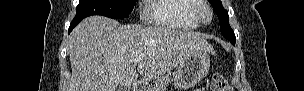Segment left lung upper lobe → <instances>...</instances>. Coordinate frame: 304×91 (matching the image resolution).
<instances>
[{"instance_id": "5c2ea615", "label": "left lung upper lobe", "mask_w": 304, "mask_h": 91, "mask_svg": "<svg viewBox=\"0 0 304 91\" xmlns=\"http://www.w3.org/2000/svg\"><path fill=\"white\" fill-rule=\"evenodd\" d=\"M219 17V23L221 27V33L222 35L230 40V42L233 44L236 42L235 34L232 30V28L229 25V16L228 12L223 8L222 3L220 0H208Z\"/></svg>"}]
</instances>
